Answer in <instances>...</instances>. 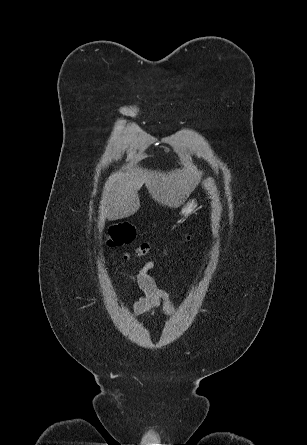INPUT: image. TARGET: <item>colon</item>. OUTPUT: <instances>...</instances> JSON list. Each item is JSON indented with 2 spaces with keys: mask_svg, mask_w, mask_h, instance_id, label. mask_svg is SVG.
Listing matches in <instances>:
<instances>
[{
  "mask_svg": "<svg viewBox=\"0 0 307 445\" xmlns=\"http://www.w3.org/2000/svg\"><path fill=\"white\" fill-rule=\"evenodd\" d=\"M136 235L135 227L129 222H120L113 224L108 229L109 246L117 247L125 244H129L133 241ZM190 239V237H188ZM150 249V246L146 243L141 244L136 249V254L139 256L146 255Z\"/></svg>",
  "mask_w": 307,
  "mask_h": 445,
  "instance_id": "5ec220e1",
  "label": "colon"
}]
</instances>
